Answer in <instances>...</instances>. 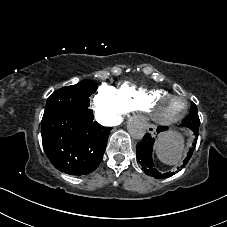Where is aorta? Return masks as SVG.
I'll return each mask as SVG.
<instances>
[{
    "label": "aorta",
    "instance_id": "obj_1",
    "mask_svg": "<svg viewBox=\"0 0 227 227\" xmlns=\"http://www.w3.org/2000/svg\"><path fill=\"white\" fill-rule=\"evenodd\" d=\"M129 133L136 139H141L145 133V122L140 118H132L127 124Z\"/></svg>",
    "mask_w": 227,
    "mask_h": 227
}]
</instances>
